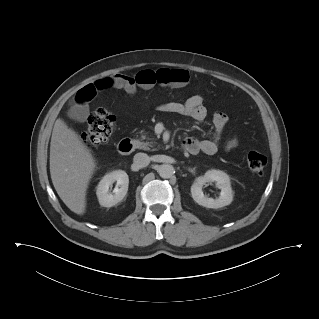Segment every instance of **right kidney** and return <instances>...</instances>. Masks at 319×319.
Wrapping results in <instances>:
<instances>
[{
	"label": "right kidney",
	"instance_id": "obj_1",
	"mask_svg": "<svg viewBox=\"0 0 319 319\" xmlns=\"http://www.w3.org/2000/svg\"><path fill=\"white\" fill-rule=\"evenodd\" d=\"M116 182L113 192L110 187ZM129 178L125 171L115 170L107 173L97 186V197L101 206L112 207L123 200L128 191Z\"/></svg>",
	"mask_w": 319,
	"mask_h": 319
}]
</instances>
